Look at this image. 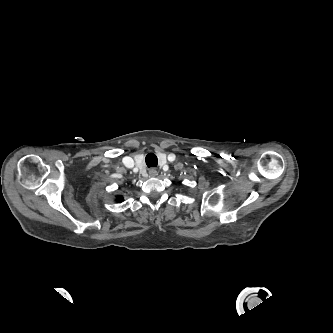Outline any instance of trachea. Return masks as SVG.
I'll list each match as a JSON object with an SVG mask.
<instances>
[{"mask_svg":"<svg viewBox=\"0 0 333 333\" xmlns=\"http://www.w3.org/2000/svg\"><path fill=\"white\" fill-rule=\"evenodd\" d=\"M146 165L150 167H156L158 164L157 156L154 153H149L145 157Z\"/></svg>","mask_w":333,"mask_h":333,"instance_id":"3493384b","label":"trachea"}]
</instances>
